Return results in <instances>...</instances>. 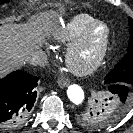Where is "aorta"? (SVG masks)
I'll use <instances>...</instances> for the list:
<instances>
[{"mask_svg": "<svg viewBox=\"0 0 133 133\" xmlns=\"http://www.w3.org/2000/svg\"><path fill=\"white\" fill-rule=\"evenodd\" d=\"M67 96L70 101L76 105L81 104L84 101V91L76 84H72L67 89Z\"/></svg>", "mask_w": 133, "mask_h": 133, "instance_id": "aorta-1", "label": "aorta"}]
</instances>
